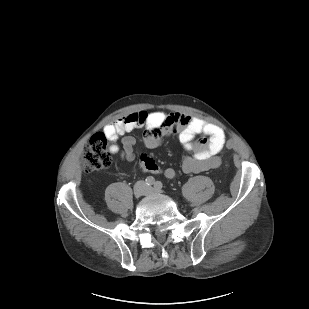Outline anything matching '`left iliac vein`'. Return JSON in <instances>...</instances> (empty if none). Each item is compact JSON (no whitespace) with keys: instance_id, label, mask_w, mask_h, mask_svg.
Segmentation results:
<instances>
[{"instance_id":"obj_1","label":"left iliac vein","mask_w":309,"mask_h":309,"mask_svg":"<svg viewBox=\"0 0 309 309\" xmlns=\"http://www.w3.org/2000/svg\"><path fill=\"white\" fill-rule=\"evenodd\" d=\"M159 190H155V189H150V193H152V192H158Z\"/></svg>"}]
</instances>
